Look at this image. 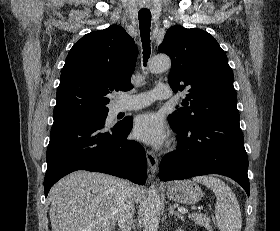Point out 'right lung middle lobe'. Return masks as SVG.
<instances>
[{"instance_id": "right-lung-middle-lobe-1", "label": "right lung middle lobe", "mask_w": 280, "mask_h": 231, "mask_svg": "<svg viewBox=\"0 0 280 231\" xmlns=\"http://www.w3.org/2000/svg\"><path fill=\"white\" fill-rule=\"evenodd\" d=\"M106 117H107V113L98 115V116H94V117H90V118H86V119H82V120H78V121H75L74 123L85 122V123H89L91 125L104 126Z\"/></svg>"}]
</instances>
